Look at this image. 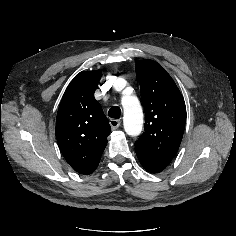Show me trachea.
Masks as SVG:
<instances>
[{
  "mask_svg": "<svg viewBox=\"0 0 236 236\" xmlns=\"http://www.w3.org/2000/svg\"><path fill=\"white\" fill-rule=\"evenodd\" d=\"M108 115L111 118L118 119L120 118V115H121V109L118 106H113L109 109Z\"/></svg>",
  "mask_w": 236,
  "mask_h": 236,
  "instance_id": "1",
  "label": "trachea"
}]
</instances>
